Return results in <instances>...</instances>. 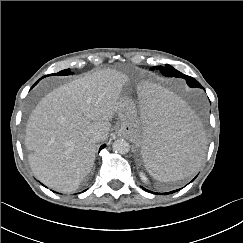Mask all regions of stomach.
<instances>
[{"label": "stomach", "instance_id": "obj_1", "mask_svg": "<svg viewBox=\"0 0 243 243\" xmlns=\"http://www.w3.org/2000/svg\"><path fill=\"white\" fill-rule=\"evenodd\" d=\"M116 114L120 119V123L117 127L118 133L129 137L131 141L140 145L137 109L129 97H120L116 108Z\"/></svg>", "mask_w": 243, "mask_h": 243}]
</instances>
